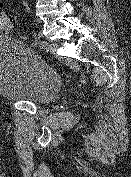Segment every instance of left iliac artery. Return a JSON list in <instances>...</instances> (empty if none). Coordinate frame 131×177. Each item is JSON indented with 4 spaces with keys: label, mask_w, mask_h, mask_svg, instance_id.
I'll return each instance as SVG.
<instances>
[{
    "label": "left iliac artery",
    "mask_w": 131,
    "mask_h": 177,
    "mask_svg": "<svg viewBox=\"0 0 131 177\" xmlns=\"http://www.w3.org/2000/svg\"><path fill=\"white\" fill-rule=\"evenodd\" d=\"M46 45H47V42L44 41V40H42V41L39 42V48H41V49H45Z\"/></svg>",
    "instance_id": "1"
}]
</instances>
